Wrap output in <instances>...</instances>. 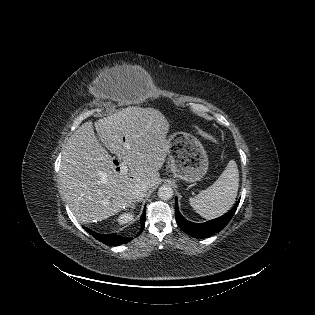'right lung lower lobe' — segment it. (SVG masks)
Instances as JSON below:
<instances>
[{
  "label": "right lung lower lobe",
  "instance_id": "98d812e1",
  "mask_svg": "<svg viewBox=\"0 0 315 315\" xmlns=\"http://www.w3.org/2000/svg\"><path fill=\"white\" fill-rule=\"evenodd\" d=\"M145 216H146V211L144 209L143 214L140 218L141 221V231L144 229L145 226ZM88 233H90L92 236H94L97 240L101 241L102 243L106 245H111V246H116V245H121L124 243H128L131 241L133 238H122L120 235H117L116 233L114 234H99L96 232H93L92 230L88 229L87 227H83Z\"/></svg>",
  "mask_w": 315,
  "mask_h": 315
}]
</instances>
